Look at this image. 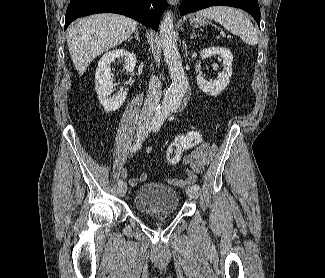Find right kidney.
<instances>
[{"mask_svg": "<svg viewBox=\"0 0 325 278\" xmlns=\"http://www.w3.org/2000/svg\"><path fill=\"white\" fill-rule=\"evenodd\" d=\"M116 59H124L126 72H133L136 64V55L126 49H116L105 53L98 62L95 73V90L100 104L107 112L118 110L127 97V91L120 89L117 94L113 93V83L110 75V64Z\"/></svg>", "mask_w": 325, "mask_h": 278, "instance_id": "right-kidney-1", "label": "right kidney"}]
</instances>
